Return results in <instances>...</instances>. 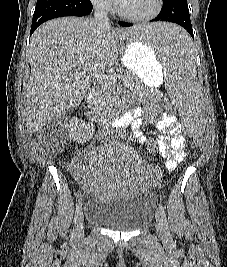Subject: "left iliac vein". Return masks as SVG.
Here are the masks:
<instances>
[{
    "label": "left iliac vein",
    "mask_w": 227,
    "mask_h": 267,
    "mask_svg": "<svg viewBox=\"0 0 227 267\" xmlns=\"http://www.w3.org/2000/svg\"><path fill=\"white\" fill-rule=\"evenodd\" d=\"M156 231L159 237H166V227L159 211L156 212Z\"/></svg>",
    "instance_id": "1"
}]
</instances>
